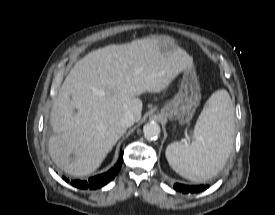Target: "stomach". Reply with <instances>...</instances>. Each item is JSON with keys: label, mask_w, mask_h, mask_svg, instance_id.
Here are the masks:
<instances>
[{"label": "stomach", "mask_w": 275, "mask_h": 215, "mask_svg": "<svg viewBox=\"0 0 275 215\" xmlns=\"http://www.w3.org/2000/svg\"><path fill=\"white\" fill-rule=\"evenodd\" d=\"M158 44L161 52L165 54L172 53L178 48L174 39L169 36L158 37ZM200 100L201 93L195 69H186L177 94L173 100L161 108L160 114L165 118L178 120L181 124L188 123Z\"/></svg>", "instance_id": "0dacf381"}]
</instances>
